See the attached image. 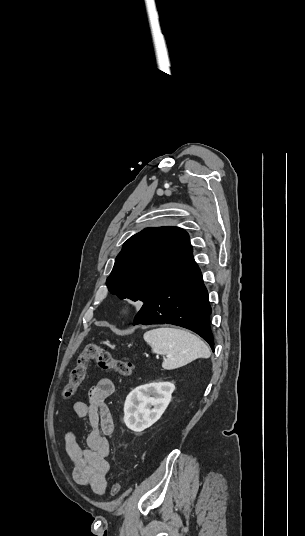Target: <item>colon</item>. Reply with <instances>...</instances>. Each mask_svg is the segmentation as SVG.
I'll use <instances>...</instances> for the list:
<instances>
[{
	"label": "colon",
	"instance_id": "obj_1",
	"mask_svg": "<svg viewBox=\"0 0 305 536\" xmlns=\"http://www.w3.org/2000/svg\"><path fill=\"white\" fill-rule=\"evenodd\" d=\"M91 360H95L101 368L113 370L125 377L132 376L135 372V366L131 362L113 358L103 346L94 342H88L84 345L83 350L77 355L74 365L70 369L69 380L63 391L64 398H71L76 389L85 382L88 363ZM119 490L120 484L114 482L111 487L112 495H117Z\"/></svg>",
	"mask_w": 305,
	"mask_h": 536
}]
</instances>
